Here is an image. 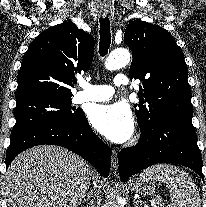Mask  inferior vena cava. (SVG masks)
<instances>
[{
	"label": "inferior vena cava",
	"mask_w": 206,
	"mask_h": 207,
	"mask_svg": "<svg viewBox=\"0 0 206 207\" xmlns=\"http://www.w3.org/2000/svg\"><path fill=\"white\" fill-rule=\"evenodd\" d=\"M95 187H96V185L94 184V190H95ZM92 191L93 190H91V193H92ZM96 193H97V197H99V193H98V190L96 191ZM95 196H96V194H95ZM94 200V199H93ZM97 203V200H94V203H93V206L95 207V204Z\"/></svg>",
	"instance_id": "1"
}]
</instances>
